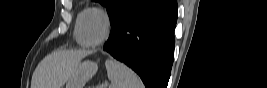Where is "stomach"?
<instances>
[{"mask_svg": "<svg viewBox=\"0 0 267 88\" xmlns=\"http://www.w3.org/2000/svg\"><path fill=\"white\" fill-rule=\"evenodd\" d=\"M98 65L93 61L79 63L77 68L70 76L66 88H83L97 72Z\"/></svg>", "mask_w": 267, "mask_h": 88, "instance_id": "obj_1", "label": "stomach"}]
</instances>
